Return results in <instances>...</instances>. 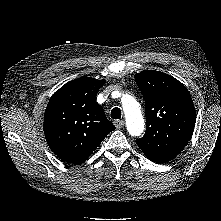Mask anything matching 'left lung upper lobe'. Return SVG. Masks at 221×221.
<instances>
[{
  "label": "left lung upper lobe",
  "instance_id": "1",
  "mask_svg": "<svg viewBox=\"0 0 221 221\" xmlns=\"http://www.w3.org/2000/svg\"><path fill=\"white\" fill-rule=\"evenodd\" d=\"M135 81L145 100L146 132L138 147L156 163L176 157L190 140L195 127V108L187 88L159 71H143Z\"/></svg>",
  "mask_w": 221,
  "mask_h": 221
}]
</instances>
